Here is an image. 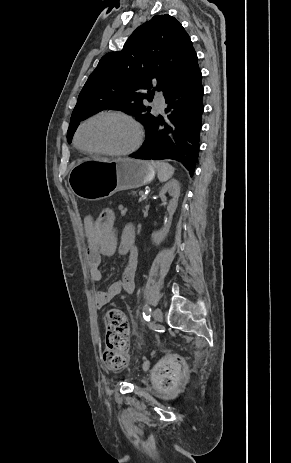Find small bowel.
I'll list each match as a JSON object with an SVG mask.
<instances>
[{"label": "small bowel", "mask_w": 291, "mask_h": 463, "mask_svg": "<svg viewBox=\"0 0 291 463\" xmlns=\"http://www.w3.org/2000/svg\"><path fill=\"white\" fill-rule=\"evenodd\" d=\"M84 232L88 241L86 257L90 278L96 287L94 302L96 308L101 309L121 291L131 294L135 289V269L139 256L135 230L133 225H125L118 240L115 226H107V230L101 232L98 230V220L86 217ZM116 252L124 257L121 279L102 288L101 258Z\"/></svg>", "instance_id": "small-bowel-1"}]
</instances>
